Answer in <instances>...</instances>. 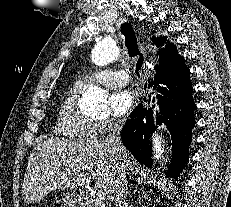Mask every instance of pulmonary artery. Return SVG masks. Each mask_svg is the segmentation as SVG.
I'll return each mask as SVG.
<instances>
[{
	"label": "pulmonary artery",
	"instance_id": "pulmonary-artery-1",
	"mask_svg": "<svg viewBox=\"0 0 231 207\" xmlns=\"http://www.w3.org/2000/svg\"><path fill=\"white\" fill-rule=\"evenodd\" d=\"M128 79V74L124 70L103 69L81 77L76 81L75 85L81 89L90 83H100L106 87H117L125 85Z\"/></svg>",
	"mask_w": 231,
	"mask_h": 207
}]
</instances>
